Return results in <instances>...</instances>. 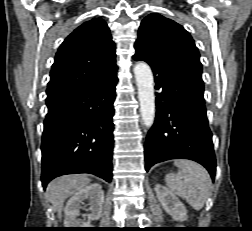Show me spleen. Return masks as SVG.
<instances>
[{"mask_svg": "<svg viewBox=\"0 0 252 231\" xmlns=\"http://www.w3.org/2000/svg\"><path fill=\"white\" fill-rule=\"evenodd\" d=\"M174 164L179 171L177 174L166 175V185L173 193L186 200L193 209H202L211 185L207 170L191 160L178 159Z\"/></svg>", "mask_w": 252, "mask_h": 231, "instance_id": "3e777b00", "label": "spleen"}]
</instances>
